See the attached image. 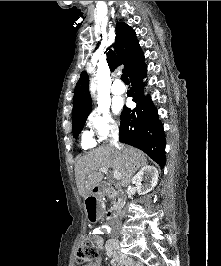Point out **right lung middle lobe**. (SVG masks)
Instances as JSON below:
<instances>
[{"instance_id": "obj_1", "label": "right lung middle lobe", "mask_w": 221, "mask_h": 266, "mask_svg": "<svg viewBox=\"0 0 221 266\" xmlns=\"http://www.w3.org/2000/svg\"><path fill=\"white\" fill-rule=\"evenodd\" d=\"M89 112L74 116L72 119V124H73V136L75 138L78 137L79 133L83 129V126L85 124V121L88 117Z\"/></svg>"}]
</instances>
